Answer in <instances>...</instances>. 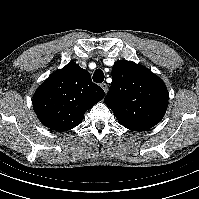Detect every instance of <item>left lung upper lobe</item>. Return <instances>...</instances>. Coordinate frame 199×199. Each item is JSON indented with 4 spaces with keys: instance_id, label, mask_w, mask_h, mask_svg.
Listing matches in <instances>:
<instances>
[{
    "instance_id": "left-lung-upper-lobe-1",
    "label": "left lung upper lobe",
    "mask_w": 199,
    "mask_h": 199,
    "mask_svg": "<svg viewBox=\"0 0 199 199\" xmlns=\"http://www.w3.org/2000/svg\"><path fill=\"white\" fill-rule=\"evenodd\" d=\"M169 94L164 82L142 65L120 60L112 68V83L104 102L119 123L132 131H145L161 121Z\"/></svg>"
}]
</instances>
